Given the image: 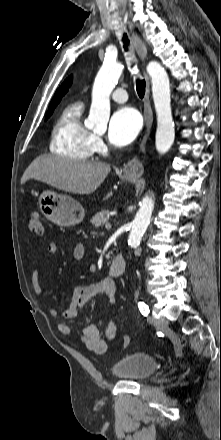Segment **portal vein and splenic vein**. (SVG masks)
<instances>
[{
  "label": "portal vein and splenic vein",
  "mask_w": 221,
  "mask_h": 440,
  "mask_svg": "<svg viewBox=\"0 0 221 440\" xmlns=\"http://www.w3.org/2000/svg\"><path fill=\"white\" fill-rule=\"evenodd\" d=\"M105 227H106L107 229H110V228H111V224H110V223H107V224L105 225Z\"/></svg>",
  "instance_id": "portal-vein-and-splenic-vein-1"
}]
</instances>
